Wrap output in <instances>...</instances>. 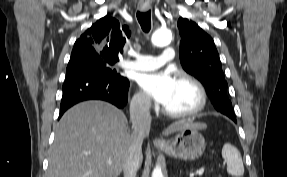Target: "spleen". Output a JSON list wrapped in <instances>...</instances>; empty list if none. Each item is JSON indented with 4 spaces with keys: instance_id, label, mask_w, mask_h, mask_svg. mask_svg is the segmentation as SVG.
<instances>
[{
    "instance_id": "1",
    "label": "spleen",
    "mask_w": 287,
    "mask_h": 177,
    "mask_svg": "<svg viewBox=\"0 0 287 177\" xmlns=\"http://www.w3.org/2000/svg\"><path fill=\"white\" fill-rule=\"evenodd\" d=\"M222 157L227 164V172L235 177H241L244 174V166L239 150L230 143L224 144L222 148Z\"/></svg>"
}]
</instances>
